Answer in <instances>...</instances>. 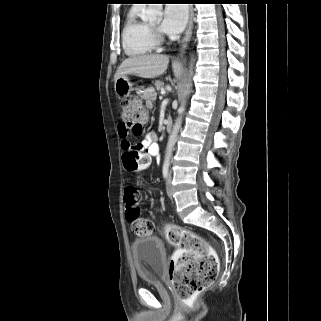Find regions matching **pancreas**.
<instances>
[{"label": "pancreas", "instance_id": "cf45deb5", "mask_svg": "<svg viewBox=\"0 0 321 321\" xmlns=\"http://www.w3.org/2000/svg\"><path fill=\"white\" fill-rule=\"evenodd\" d=\"M154 86L157 91H161L164 88V82L161 80H157L155 81Z\"/></svg>", "mask_w": 321, "mask_h": 321}]
</instances>
